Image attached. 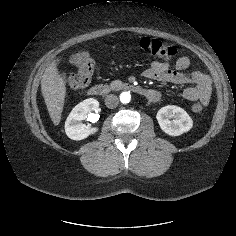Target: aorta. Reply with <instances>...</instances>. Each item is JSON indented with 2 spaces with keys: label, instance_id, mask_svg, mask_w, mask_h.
<instances>
[{
  "label": "aorta",
  "instance_id": "aorta-1",
  "mask_svg": "<svg viewBox=\"0 0 236 236\" xmlns=\"http://www.w3.org/2000/svg\"><path fill=\"white\" fill-rule=\"evenodd\" d=\"M131 100V94L127 91H124L120 94V101L124 104L129 103Z\"/></svg>",
  "mask_w": 236,
  "mask_h": 236
}]
</instances>
